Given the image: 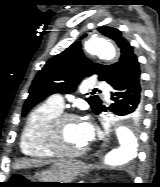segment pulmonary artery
<instances>
[{"label": "pulmonary artery", "instance_id": "e3ab8cb5", "mask_svg": "<svg viewBox=\"0 0 160 187\" xmlns=\"http://www.w3.org/2000/svg\"><path fill=\"white\" fill-rule=\"evenodd\" d=\"M91 86L104 91L106 100H109V95L106 93V91L108 90V87L106 84L97 82V83H92ZM49 101L60 109H63L64 107V100L60 94L52 95Z\"/></svg>", "mask_w": 160, "mask_h": 187}]
</instances>
